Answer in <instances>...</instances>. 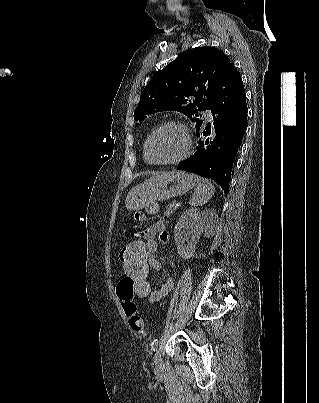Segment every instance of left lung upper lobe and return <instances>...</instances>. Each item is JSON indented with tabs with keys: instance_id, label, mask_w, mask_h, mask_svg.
Returning <instances> with one entry per match:
<instances>
[{
	"instance_id": "5c2ea615",
	"label": "left lung upper lobe",
	"mask_w": 319,
	"mask_h": 403,
	"mask_svg": "<svg viewBox=\"0 0 319 403\" xmlns=\"http://www.w3.org/2000/svg\"><path fill=\"white\" fill-rule=\"evenodd\" d=\"M232 65L213 47L189 49L152 77L141 93L134 119L142 121L156 112L173 110L196 122L198 131L203 125L198 112L210 108Z\"/></svg>"
}]
</instances>
